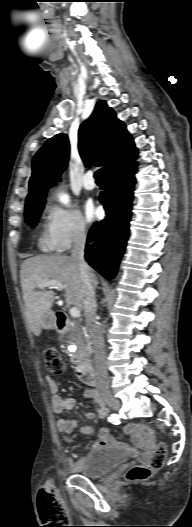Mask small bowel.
<instances>
[{
    "label": "small bowel",
    "instance_id": "c3829d8e",
    "mask_svg": "<svg viewBox=\"0 0 192 527\" xmlns=\"http://www.w3.org/2000/svg\"><path fill=\"white\" fill-rule=\"evenodd\" d=\"M46 382L52 394L51 403L54 413L61 414L64 411L72 410L76 404L75 399L72 397H62L58 392V385L53 377L47 376ZM84 396L91 399L96 405L95 412H88L86 414L89 419H94L96 417L103 418L107 414V409L96 390L87 389L84 392ZM77 427L78 422L74 419H59L57 421V429L60 433L69 434ZM79 430L83 435H90L93 433V426L84 425L80 427ZM124 431L131 436L133 447L116 441L110 436L107 429L100 430L97 445L119 447L127 451L129 454L137 456L143 462L148 461L155 449V437L153 431L139 424L126 425ZM143 466H146V463H143Z\"/></svg>",
    "mask_w": 192,
    "mask_h": 527
}]
</instances>
